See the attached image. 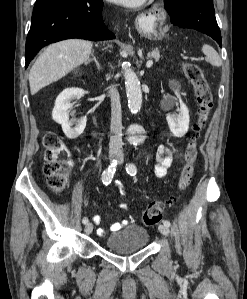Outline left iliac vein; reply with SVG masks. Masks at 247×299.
Returning <instances> with one entry per match:
<instances>
[{
	"instance_id": "left-iliac-vein-1",
	"label": "left iliac vein",
	"mask_w": 247,
	"mask_h": 299,
	"mask_svg": "<svg viewBox=\"0 0 247 299\" xmlns=\"http://www.w3.org/2000/svg\"><path fill=\"white\" fill-rule=\"evenodd\" d=\"M158 229L163 235L167 236L169 234V227L164 224L159 225Z\"/></svg>"
}]
</instances>
